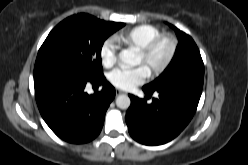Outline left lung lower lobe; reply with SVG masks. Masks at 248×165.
I'll return each instance as SVG.
<instances>
[{
  "mask_svg": "<svg viewBox=\"0 0 248 165\" xmlns=\"http://www.w3.org/2000/svg\"><path fill=\"white\" fill-rule=\"evenodd\" d=\"M202 86L167 85L152 91L143 88L148 96L159 94L150 104L146 99L129 95L131 105L126 113V123L132 138L145 145H160L174 139L192 119Z\"/></svg>",
  "mask_w": 248,
  "mask_h": 165,
  "instance_id": "0a47b994",
  "label": "left lung lower lobe"
}]
</instances>
